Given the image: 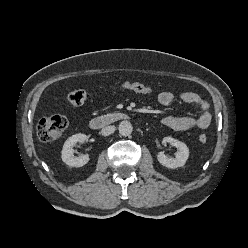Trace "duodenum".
Returning a JSON list of instances; mask_svg holds the SVG:
<instances>
[{
  "mask_svg": "<svg viewBox=\"0 0 248 248\" xmlns=\"http://www.w3.org/2000/svg\"><path fill=\"white\" fill-rule=\"evenodd\" d=\"M128 118L127 114L121 111H115L108 114L96 116L89 122V126L92 129H98L104 126H108Z\"/></svg>",
  "mask_w": 248,
  "mask_h": 248,
  "instance_id": "obj_1",
  "label": "duodenum"
}]
</instances>
